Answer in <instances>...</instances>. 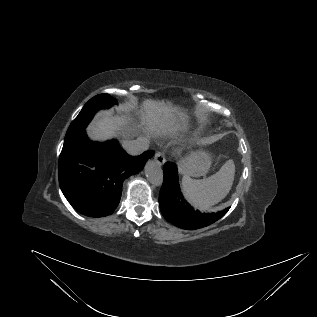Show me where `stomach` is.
<instances>
[{
	"label": "stomach",
	"instance_id": "obj_1",
	"mask_svg": "<svg viewBox=\"0 0 317 317\" xmlns=\"http://www.w3.org/2000/svg\"><path fill=\"white\" fill-rule=\"evenodd\" d=\"M212 164V157L204 151L191 152L179 161L180 172L187 176H204Z\"/></svg>",
	"mask_w": 317,
	"mask_h": 317
}]
</instances>
